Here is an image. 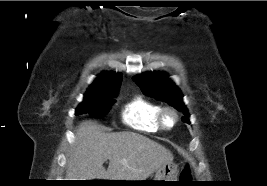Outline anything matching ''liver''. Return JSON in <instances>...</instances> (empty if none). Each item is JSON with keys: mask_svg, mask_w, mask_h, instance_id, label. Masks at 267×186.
Returning a JSON list of instances; mask_svg holds the SVG:
<instances>
[{"mask_svg": "<svg viewBox=\"0 0 267 186\" xmlns=\"http://www.w3.org/2000/svg\"><path fill=\"white\" fill-rule=\"evenodd\" d=\"M109 160L107 170L103 167ZM173 161L164 146L134 132L105 133L93 121H83L67 160V180L142 181Z\"/></svg>", "mask_w": 267, "mask_h": 186, "instance_id": "liver-1", "label": "liver"}]
</instances>
